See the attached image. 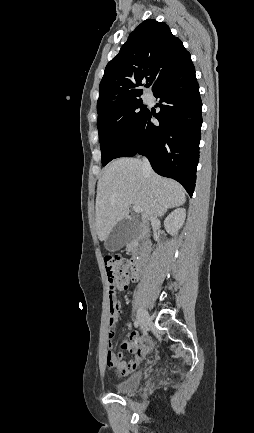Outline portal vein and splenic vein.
I'll return each instance as SVG.
<instances>
[{
    "mask_svg": "<svg viewBox=\"0 0 254 433\" xmlns=\"http://www.w3.org/2000/svg\"><path fill=\"white\" fill-rule=\"evenodd\" d=\"M133 210H134L136 213L141 212L140 207H139V206H136V205L133 206Z\"/></svg>",
    "mask_w": 254,
    "mask_h": 433,
    "instance_id": "1",
    "label": "portal vein and splenic vein"
}]
</instances>
